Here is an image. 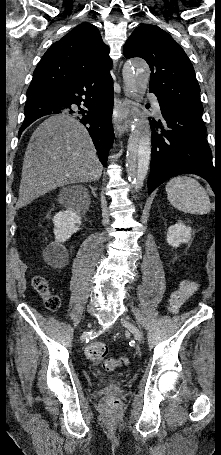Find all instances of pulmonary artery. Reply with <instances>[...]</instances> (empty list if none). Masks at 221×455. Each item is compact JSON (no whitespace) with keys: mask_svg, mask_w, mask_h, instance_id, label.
<instances>
[{"mask_svg":"<svg viewBox=\"0 0 221 455\" xmlns=\"http://www.w3.org/2000/svg\"><path fill=\"white\" fill-rule=\"evenodd\" d=\"M153 105H154V109H155L156 113L160 114V106H159L158 102L156 101V99H154Z\"/></svg>","mask_w":221,"mask_h":455,"instance_id":"obj_1","label":"pulmonary artery"}]
</instances>
